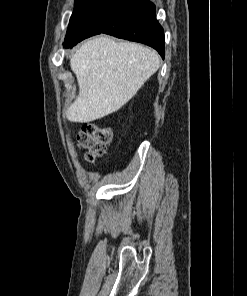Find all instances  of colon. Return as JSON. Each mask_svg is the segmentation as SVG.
Listing matches in <instances>:
<instances>
[{
	"label": "colon",
	"instance_id": "1",
	"mask_svg": "<svg viewBox=\"0 0 247 296\" xmlns=\"http://www.w3.org/2000/svg\"><path fill=\"white\" fill-rule=\"evenodd\" d=\"M110 140V130L95 123H85L77 135L78 145L85 151V159L88 162L103 156Z\"/></svg>",
	"mask_w": 247,
	"mask_h": 296
}]
</instances>
